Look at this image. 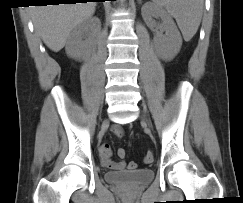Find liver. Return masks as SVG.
Wrapping results in <instances>:
<instances>
[{"label":"liver","instance_id":"liver-1","mask_svg":"<svg viewBox=\"0 0 243 203\" xmlns=\"http://www.w3.org/2000/svg\"><path fill=\"white\" fill-rule=\"evenodd\" d=\"M96 2L34 6L31 9L35 30L52 51H60L70 32L95 12Z\"/></svg>","mask_w":243,"mask_h":203}]
</instances>
